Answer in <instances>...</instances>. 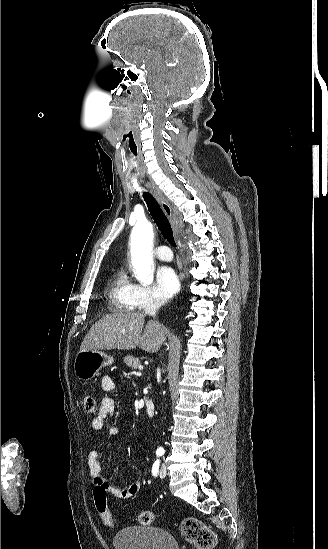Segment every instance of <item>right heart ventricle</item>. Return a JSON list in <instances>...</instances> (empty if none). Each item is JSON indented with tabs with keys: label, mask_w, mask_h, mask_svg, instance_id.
Instances as JSON below:
<instances>
[{
	"label": "right heart ventricle",
	"mask_w": 328,
	"mask_h": 549,
	"mask_svg": "<svg viewBox=\"0 0 328 549\" xmlns=\"http://www.w3.org/2000/svg\"><path fill=\"white\" fill-rule=\"evenodd\" d=\"M107 303H116L117 310H135L136 303H143L138 286L128 278L123 268H119L112 276Z\"/></svg>",
	"instance_id": "right-heart-ventricle-1"
}]
</instances>
